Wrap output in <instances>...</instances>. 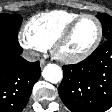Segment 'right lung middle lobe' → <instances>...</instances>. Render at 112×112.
<instances>
[{"label": "right lung middle lobe", "mask_w": 112, "mask_h": 112, "mask_svg": "<svg viewBox=\"0 0 112 112\" xmlns=\"http://www.w3.org/2000/svg\"><path fill=\"white\" fill-rule=\"evenodd\" d=\"M21 23L22 17L18 14L0 13V39L18 43L17 31Z\"/></svg>", "instance_id": "obj_1"}]
</instances>
